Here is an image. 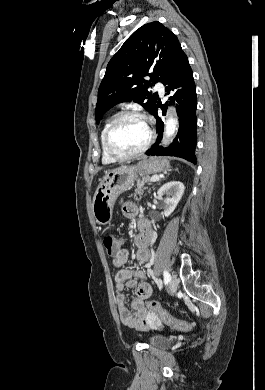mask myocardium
<instances>
[{"mask_svg":"<svg viewBox=\"0 0 265 390\" xmlns=\"http://www.w3.org/2000/svg\"><path fill=\"white\" fill-rule=\"evenodd\" d=\"M126 118H136V119L141 120L147 127L148 138H147V141L145 142V144L137 151L127 153V154H122V153L117 152L113 148L111 139H112V134H113L115 128L118 126V124L120 122H122ZM154 138H155V132H154L150 122L148 121V119L145 115H143L137 111H123V112L119 113L114 118V120L111 122L110 126L108 127V129L105 133L104 143H105L106 151L108 152V154L112 158H114L115 160L123 161V160L132 159L134 157L140 156L143 153H145L149 149L151 144L153 143Z\"/></svg>","mask_w":265,"mask_h":390,"instance_id":"myocardium-1","label":"myocardium"}]
</instances>
